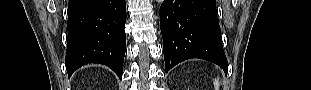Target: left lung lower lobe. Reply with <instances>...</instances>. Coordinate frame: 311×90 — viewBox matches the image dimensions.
Segmentation results:
<instances>
[{"instance_id":"obj_1","label":"left lung lower lobe","mask_w":311,"mask_h":90,"mask_svg":"<svg viewBox=\"0 0 311 90\" xmlns=\"http://www.w3.org/2000/svg\"><path fill=\"white\" fill-rule=\"evenodd\" d=\"M160 28L166 72L190 58L213 62L228 72L216 0H165L160 8Z\"/></svg>"}]
</instances>
